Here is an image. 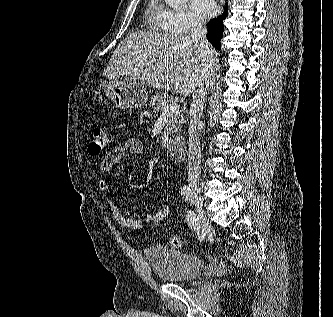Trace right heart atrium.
Segmentation results:
<instances>
[{"label":"right heart atrium","mask_w":333,"mask_h":317,"mask_svg":"<svg viewBox=\"0 0 333 317\" xmlns=\"http://www.w3.org/2000/svg\"><path fill=\"white\" fill-rule=\"evenodd\" d=\"M161 25L165 31L174 34H185L199 27V23L183 9H163Z\"/></svg>","instance_id":"d8ad5b80"}]
</instances>
